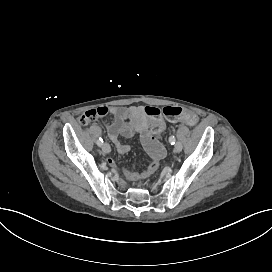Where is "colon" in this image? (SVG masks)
Returning a JSON list of instances; mask_svg holds the SVG:
<instances>
[{
	"label": "colon",
	"instance_id": "colon-1",
	"mask_svg": "<svg viewBox=\"0 0 272 272\" xmlns=\"http://www.w3.org/2000/svg\"><path fill=\"white\" fill-rule=\"evenodd\" d=\"M108 114V108L101 106L87 110L82 116L81 122L86 124L97 117H104ZM146 119L152 122L156 130L162 131L168 127L169 121L175 122L179 119L192 122L196 119L197 114L193 110H183L180 106H151L145 111Z\"/></svg>",
	"mask_w": 272,
	"mask_h": 272
}]
</instances>
